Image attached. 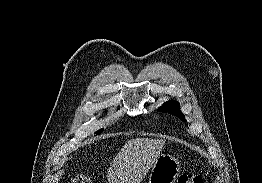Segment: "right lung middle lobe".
<instances>
[{"label":"right lung middle lobe","instance_id":"right-lung-middle-lobe-1","mask_svg":"<svg viewBox=\"0 0 262 183\" xmlns=\"http://www.w3.org/2000/svg\"><path fill=\"white\" fill-rule=\"evenodd\" d=\"M103 131V129H100L96 132V134H100Z\"/></svg>","mask_w":262,"mask_h":183}]
</instances>
